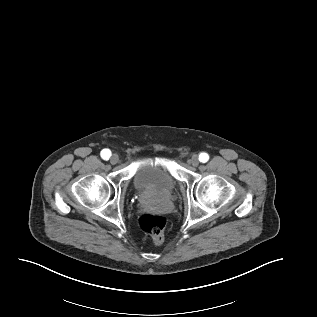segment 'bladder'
Wrapping results in <instances>:
<instances>
[{
  "label": "bladder",
  "mask_w": 317,
  "mask_h": 317,
  "mask_svg": "<svg viewBox=\"0 0 317 317\" xmlns=\"http://www.w3.org/2000/svg\"><path fill=\"white\" fill-rule=\"evenodd\" d=\"M133 184L148 198H162L174 191L176 179L161 164L142 163L133 175Z\"/></svg>",
  "instance_id": "obj_1"
}]
</instances>
